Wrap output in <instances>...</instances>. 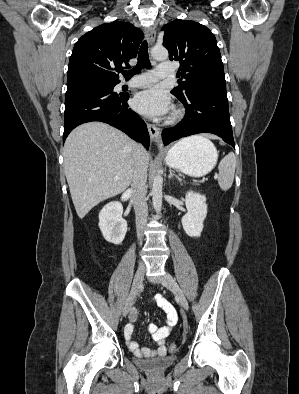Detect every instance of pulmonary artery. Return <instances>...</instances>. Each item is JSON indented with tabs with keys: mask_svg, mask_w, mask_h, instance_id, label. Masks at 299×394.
Masks as SVG:
<instances>
[{
	"mask_svg": "<svg viewBox=\"0 0 299 394\" xmlns=\"http://www.w3.org/2000/svg\"><path fill=\"white\" fill-rule=\"evenodd\" d=\"M172 73L173 70L171 64L161 63L153 71H148L146 73L137 75L127 82H121L119 84V87H122L124 85H127L129 87H145L159 79L171 76Z\"/></svg>",
	"mask_w": 299,
	"mask_h": 394,
	"instance_id": "1",
	"label": "pulmonary artery"
}]
</instances>
